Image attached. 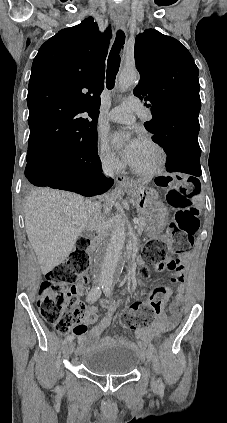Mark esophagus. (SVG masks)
<instances>
[{
	"instance_id": "esophagus-1",
	"label": "esophagus",
	"mask_w": 227,
	"mask_h": 423,
	"mask_svg": "<svg viewBox=\"0 0 227 423\" xmlns=\"http://www.w3.org/2000/svg\"><path fill=\"white\" fill-rule=\"evenodd\" d=\"M124 20H117L116 21V25L119 27H123L124 26ZM129 182V178H127L125 175H117L116 177V183L117 184H124Z\"/></svg>"
}]
</instances>
